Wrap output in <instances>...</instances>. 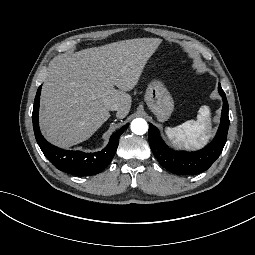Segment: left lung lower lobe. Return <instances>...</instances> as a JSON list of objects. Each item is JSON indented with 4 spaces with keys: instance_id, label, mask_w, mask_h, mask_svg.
I'll list each match as a JSON object with an SVG mask.
<instances>
[{
    "instance_id": "obj_1",
    "label": "left lung lower lobe",
    "mask_w": 255,
    "mask_h": 255,
    "mask_svg": "<svg viewBox=\"0 0 255 255\" xmlns=\"http://www.w3.org/2000/svg\"><path fill=\"white\" fill-rule=\"evenodd\" d=\"M223 98L221 122L213 141L202 150L196 152L174 151L164 143L159 131L152 124L149 125V145L160 165L174 174L196 175L207 170L221 154L227 140L229 128L228 102L226 95L218 86Z\"/></svg>"
}]
</instances>
